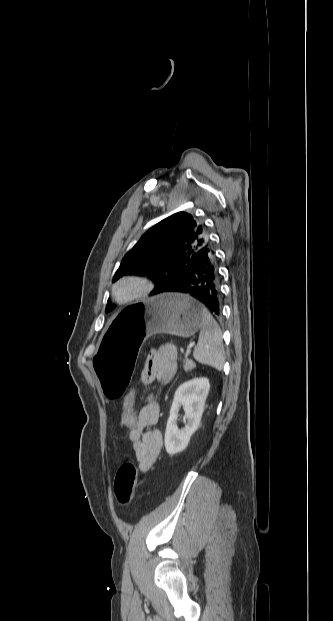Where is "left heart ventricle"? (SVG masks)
<instances>
[{
  "instance_id": "left-heart-ventricle-1",
  "label": "left heart ventricle",
  "mask_w": 333,
  "mask_h": 621,
  "mask_svg": "<svg viewBox=\"0 0 333 621\" xmlns=\"http://www.w3.org/2000/svg\"><path fill=\"white\" fill-rule=\"evenodd\" d=\"M138 290V286L132 283H126L120 286L118 294L121 298L128 297Z\"/></svg>"
}]
</instances>
